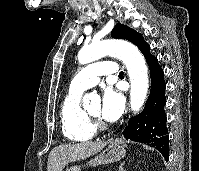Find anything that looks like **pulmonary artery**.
<instances>
[{"label": "pulmonary artery", "mask_w": 199, "mask_h": 171, "mask_svg": "<svg viewBox=\"0 0 199 171\" xmlns=\"http://www.w3.org/2000/svg\"><path fill=\"white\" fill-rule=\"evenodd\" d=\"M117 67L111 61H96L82 68L72 79L69 88L73 91H84L95 86L100 77L116 74Z\"/></svg>", "instance_id": "e3ab8cb5"}]
</instances>
